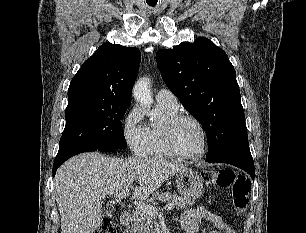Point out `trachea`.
I'll list each match as a JSON object with an SVG mask.
<instances>
[{
	"mask_svg": "<svg viewBox=\"0 0 306 233\" xmlns=\"http://www.w3.org/2000/svg\"><path fill=\"white\" fill-rule=\"evenodd\" d=\"M150 6H155L156 4H149Z\"/></svg>",
	"mask_w": 306,
	"mask_h": 233,
	"instance_id": "3493384b",
	"label": "trachea"
}]
</instances>
